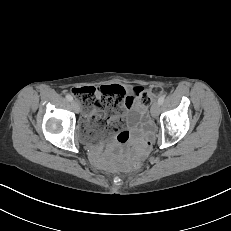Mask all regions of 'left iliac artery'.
<instances>
[{"label":"left iliac artery","mask_w":231,"mask_h":231,"mask_svg":"<svg viewBox=\"0 0 231 231\" xmlns=\"http://www.w3.org/2000/svg\"><path fill=\"white\" fill-rule=\"evenodd\" d=\"M164 96H160L159 99H158V103L161 105L163 102H164Z\"/></svg>","instance_id":"obj_1"}]
</instances>
